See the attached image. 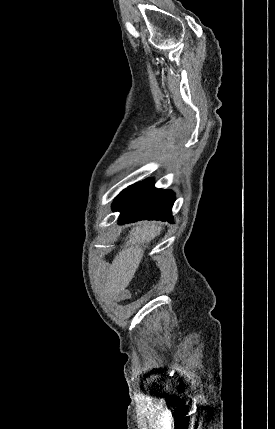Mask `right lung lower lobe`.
<instances>
[{
    "label": "right lung lower lobe",
    "instance_id": "obj_1",
    "mask_svg": "<svg viewBox=\"0 0 275 429\" xmlns=\"http://www.w3.org/2000/svg\"><path fill=\"white\" fill-rule=\"evenodd\" d=\"M175 195L170 190L156 189L153 179H147L124 189L115 199L112 209L120 211L119 224L140 220L173 222L171 209Z\"/></svg>",
    "mask_w": 275,
    "mask_h": 429
}]
</instances>
